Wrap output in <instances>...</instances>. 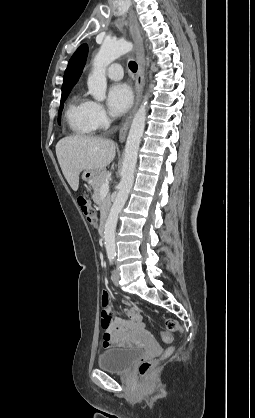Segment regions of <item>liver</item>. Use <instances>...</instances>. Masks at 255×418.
I'll use <instances>...</instances> for the list:
<instances>
[{"instance_id": "liver-1", "label": "liver", "mask_w": 255, "mask_h": 418, "mask_svg": "<svg viewBox=\"0 0 255 418\" xmlns=\"http://www.w3.org/2000/svg\"><path fill=\"white\" fill-rule=\"evenodd\" d=\"M116 153V145L110 139L70 136L56 144V155L64 177L72 190L79 187V174L83 170L102 171Z\"/></svg>"}]
</instances>
